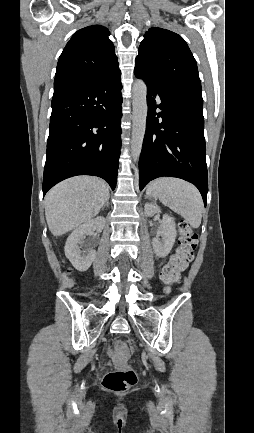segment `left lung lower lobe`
<instances>
[{
	"label": "left lung lower lobe",
	"mask_w": 254,
	"mask_h": 433,
	"mask_svg": "<svg viewBox=\"0 0 254 433\" xmlns=\"http://www.w3.org/2000/svg\"><path fill=\"white\" fill-rule=\"evenodd\" d=\"M134 74L146 82L148 103L139 159L140 190L155 178L177 177L194 184L206 206L208 176L202 96L165 86L137 67ZM156 109L161 111L157 113Z\"/></svg>",
	"instance_id": "0a47b994"
}]
</instances>
